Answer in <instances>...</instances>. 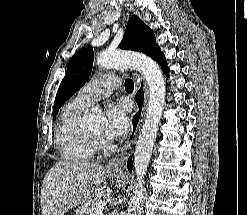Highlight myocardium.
I'll list each match as a JSON object with an SVG mask.
<instances>
[{"label": "myocardium", "instance_id": "1", "mask_svg": "<svg viewBox=\"0 0 247 215\" xmlns=\"http://www.w3.org/2000/svg\"><path fill=\"white\" fill-rule=\"evenodd\" d=\"M89 136L93 139L96 145L102 142V136L101 134H94L91 132H88Z\"/></svg>", "mask_w": 247, "mask_h": 215}]
</instances>
